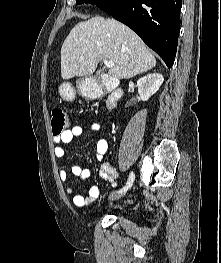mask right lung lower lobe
<instances>
[{
    "label": "right lung lower lobe",
    "mask_w": 221,
    "mask_h": 263,
    "mask_svg": "<svg viewBox=\"0 0 221 263\" xmlns=\"http://www.w3.org/2000/svg\"><path fill=\"white\" fill-rule=\"evenodd\" d=\"M182 0H102L97 7L135 31L171 68L177 50Z\"/></svg>",
    "instance_id": "1"
}]
</instances>
